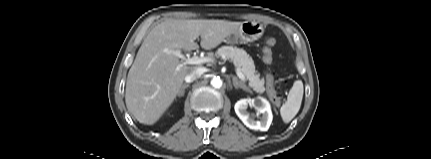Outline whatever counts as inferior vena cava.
I'll return each instance as SVG.
<instances>
[{"instance_id":"obj_1","label":"inferior vena cava","mask_w":431,"mask_h":159,"mask_svg":"<svg viewBox=\"0 0 431 159\" xmlns=\"http://www.w3.org/2000/svg\"><path fill=\"white\" fill-rule=\"evenodd\" d=\"M204 72H205L204 68L198 67L185 76V81L187 83L193 82L198 77H200Z\"/></svg>"}]
</instances>
